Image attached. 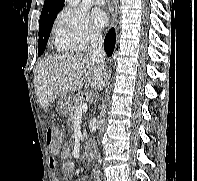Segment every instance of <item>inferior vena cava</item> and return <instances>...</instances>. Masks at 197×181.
Returning a JSON list of instances; mask_svg holds the SVG:
<instances>
[{
  "label": "inferior vena cava",
  "instance_id": "inferior-vena-cava-1",
  "mask_svg": "<svg viewBox=\"0 0 197 181\" xmlns=\"http://www.w3.org/2000/svg\"><path fill=\"white\" fill-rule=\"evenodd\" d=\"M89 56L94 64H97L100 68H105L103 38L97 31L92 32L90 36Z\"/></svg>",
  "mask_w": 197,
  "mask_h": 181
}]
</instances>
